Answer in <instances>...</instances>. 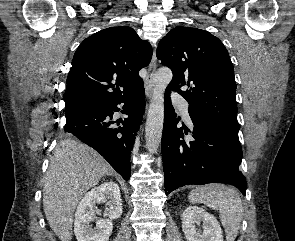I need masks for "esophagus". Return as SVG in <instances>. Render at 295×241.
Instances as JSON below:
<instances>
[{
    "label": "esophagus",
    "mask_w": 295,
    "mask_h": 241,
    "mask_svg": "<svg viewBox=\"0 0 295 241\" xmlns=\"http://www.w3.org/2000/svg\"><path fill=\"white\" fill-rule=\"evenodd\" d=\"M157 68V58H156V52H153V56L151 59V62L148 67V73L145 79V94L148 99H150L153 95L154 91V75Z\"/></svg>",
    "instance_id": "obj_1"
}]
</instances>
